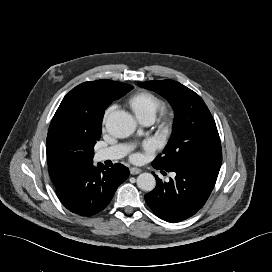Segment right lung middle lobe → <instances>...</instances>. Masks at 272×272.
Segmentation results:
<instances>
[{"label":"right lung middle lobe","mask_w":272,"mask_h":272,"mask_svg":"<svg viewBox=\"0 0 272 272\" xmlns=\"http://www.w3.org/2000/svg\"><path fill=\"white\" fill-rule=\"evenodd\" d=\"M130 89H132V87ZM130 89L126 90L121 96L125 95Z\"/></svg>","instance_id":"1"}]
</instances>
